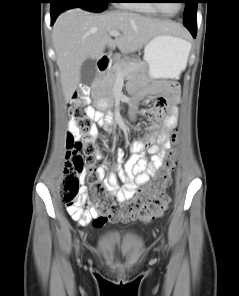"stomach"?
Returning a JSON list of instances; mask_svg holds the SVG:
<instances>
[{
	"label": "stomach",
	"instance_id": "1",
	"mask_svg": "<svg viewBox=\"0 0 239 296\" xmlns=\"http://www.w3.org/2000/svg\"><path fill=\"white\" fill-rule=\"evenodd\" d=\"M191 44L175 34L153 37L144 48L147 75L153 80L178 79L186 67Z\"/></svg>",
	"mask_w": 239,
	"mask_h": 296
}]
</instances>
